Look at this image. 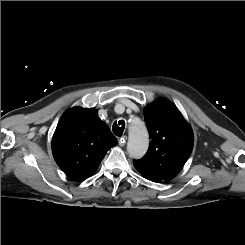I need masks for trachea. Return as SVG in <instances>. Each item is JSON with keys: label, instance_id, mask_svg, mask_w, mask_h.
<instances>
[{"label": "trachea", "instance_id": "trachea-1", "mask_svg": "<svg viewBox=\"0 0 245 245\" xmlns=\"http://www.w3.org/2000/svg\"><path fill=\"white\" fill-rule=\"evenodd\" d=\"M124 128H125L124 120H119L118 122L115 121L112 126L113 133L116 136H121L123 134Z\"/></svg>", "mask_w": 245, "mask_h": 245}]
</instances>
